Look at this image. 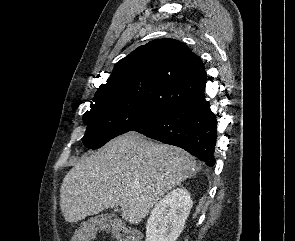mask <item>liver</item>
Returning a JSON list of instances; mask_svg holds the SVG:
<instances>
[{"mask_svg": "<svg viewBox=\"0 0 295 241\" xmlns=\"http://www.w3.org/2000/svg\"><path fill=\"white\" fill-rule=\"evenodd\" d=\"M196 172V160L185 150L131 132L82 158L67 173L61 212L72 223L120 206L123 219L139 224L165 193Z\"/></svg>", "mask_w": 295, "mask_h": 241, "instance_id": "1", "label": "liver"}]
</instances>
